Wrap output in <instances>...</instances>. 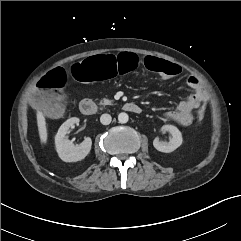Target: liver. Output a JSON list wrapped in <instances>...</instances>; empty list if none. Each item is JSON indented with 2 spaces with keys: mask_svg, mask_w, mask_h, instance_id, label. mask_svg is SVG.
<instances>
[{
  "mask_svg": "<svg viewBox=\"0 0 241 241\" xmlns=\"http://www.w3.org/2000/svg\"><path fill=\"white\" fill-rule=\"evenodd\" d=\"M37 126H38L40 141L42 144H46L47 138H48L46 121H45V117L40 111H37Z\"/></svg>",
  "mask_w": 241,
  "mask_h": 241,
  "instance_id": "6515ba94",
  "label": "liver"
}]
</instances>
